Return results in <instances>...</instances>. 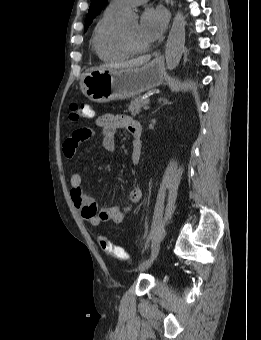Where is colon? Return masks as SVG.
<instances>
[{
	"label": "colon",
	"mask_w": 261,
	"mask_h": 340,
	"mask_svg": "<svg viewBox=\"0 0 261 340\" xmlns=\"http://www.w3.org/2000/svg\"><path fill=\"white\" fill-rule=\"evenodd\" d=\"M93 116L92 108L85 103H73L70 106V119L72 121H80L91 118ZM97 241L100 248L109 256L119 261H127L128 253L121 247L114 245L106 235L98 233Z\"/></svg>",
	"instance_id": "obj_1"
}]
</instances>
